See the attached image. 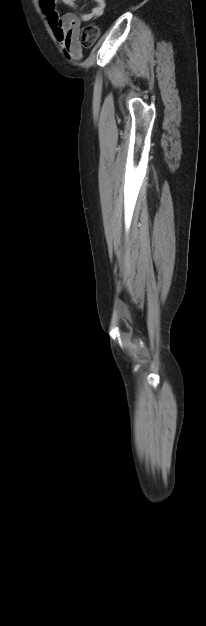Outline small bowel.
<instances>
[{
	"mask_svg": "<svg viewBox=\"0 0 206 626\" xmlns=\"http://www.w3.org/2000/svg\"><path fill=\"white\" fill-rule=\"evenodd\" d=\"M94 2L95 6L91 11L80 12L76 0H40L42 11L68 59L80 60L83 57L80 41L81 22L101 17L105 11L106 0H94ZM58 4H64L75 11L61 15L57 10Z\"/></svg>",
	"mask_w": 206,
	"mask_h": 626,
	"instance_id": "1",
	"label": "small bowel"
}]
</instances>
